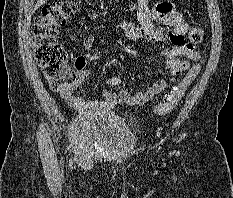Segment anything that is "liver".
I'll use <instances>...</instances> for the list:
<instances>
[{
  "mask_svg": "<svg viewBox=\"0 0 233 198\" xmlns=\"http://www.w3.org/2000/svg\"><path fill=\"white\" fill-rule=\"evenodd\" d=\"M47 0H38L35 4L34 11L37 10L40 6H42Z\"/></svg>",
  "mask_w": 233,
  "mask_h": 198,
  "instance_id": "6515ba94",
  "label": "liver"
}]
</instances>
